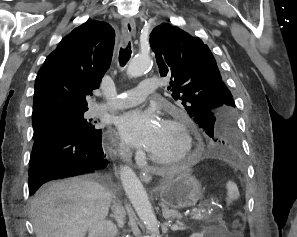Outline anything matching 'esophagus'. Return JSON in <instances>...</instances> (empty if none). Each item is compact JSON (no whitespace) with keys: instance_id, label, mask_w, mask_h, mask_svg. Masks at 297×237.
<instances>
[{"instance_id":"obj_1","label":"esophagus","mask_w":297,"mask_h":237,"mask_svg":"<svg viewBox=\"0 0 297 237\" xmlns=\"http://www.w3.org/2000/svg\"><path fill=\"white\" fill-rule=\"evenodd\" d=\"M136 32V24L133 18H125L122 21V34L123 40L127 42L129 38L135 35ZM140 178L143 182L149 183L152 180V176L148 169L143 170L140 173Z\"/></svg>"}]
</instances>
